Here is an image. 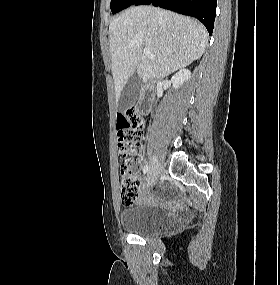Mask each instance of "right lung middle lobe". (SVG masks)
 <instances>
[{"label": "right lung middle lobe", "mask_w": 280, "mask_h": 285, "mask_svg": "<svg viewBox=\"0 0 280 285\" xmlns=\"http://www.w3.org/2000/svg\"><path fill=\"white\" fill-rule=\"evenodd\" d=\"M137 0H111L110 8L112 13H117L130 5L134 4Z\"/></svg>", "instance_id": "dd1d6c3e"}]
</instances>
